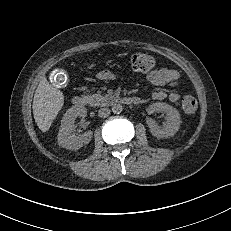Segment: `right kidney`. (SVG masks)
<instances>
[{"label": "right kidney", "instance_id": "right-kidney-1", "mask_svg": "<svg viewBox=\"0 0 231 231\" xmlns=\"http://www.w3.org/2000/svg\"><path fill=\"white\" fill-rule=\"evenodd\" d=\"M86 115L87 110L85 108H78L73 106L67 110L61 121V126L58 133L59 146L66 149L78 150L84 144H88L91 141V131H88L84 134H72L76 118L78 116L85 117Z\"/></svg>", "mask_w": 231, "mask_h": 231}]
</instances>
